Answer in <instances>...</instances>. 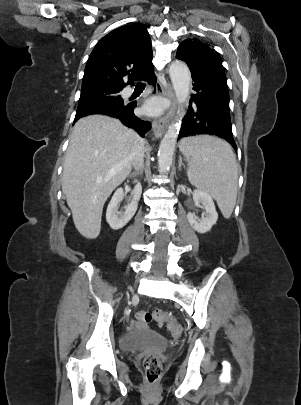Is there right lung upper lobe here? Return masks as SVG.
<instances>
[{
  "label": "right lung upper lobe",
  "mask_w": 301,
  "mask_h": 405,
  "mask_svg": "<svg viewBox=\"0 0 301 405\" xmlns=\"http://www.w3.org/2000/svg\"><path fill=\"white\" fill-rule=\"evenodd\" d=\"M152 46L144 25L119 27L104 36L87 61L82 89L109 87L123 89L153 69ZM128 76V82L123 78Z\"/></svg>",
  "instance_id": "cb5924a9"
}]
</instances>
